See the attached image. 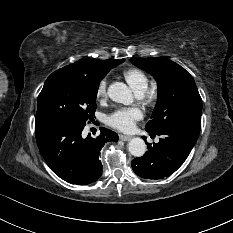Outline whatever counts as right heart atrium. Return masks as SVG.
Returning a JSON list of instances; mask_svg holds the SVG:
<instances>
[{"label": "right heart atrium", "instance_id": "d8ad5b80", "mask_svg": "<svg viewBox=\"0 0 233 233\" xmlns=\"http://www.w3.org/2000/svg\"><path fill=\"white\" fill-rule=\"evenodd\" d=\"M107 94V81L106 79H102L99 81L96 88V97L97 99H103Z\"/></svg>", "mask_w": 233, "mask_h": 233}]
</instances>
